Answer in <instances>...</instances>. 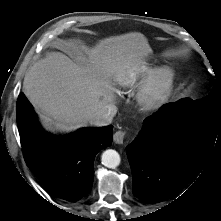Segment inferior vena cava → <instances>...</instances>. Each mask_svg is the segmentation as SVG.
Instances as JSON below:
<instances>
[{
    "mask_svg": "<svg viewBox=\"0 0 221 221\" xmlns=\"http://www.w3.org/2000/svg\"><path fill=\"white\" fill-rule=\"evenodd\" d=\"M116 113L117 107L114 104L106 105L90 116L89 123L98 127L107 126L111 124Z\"/></svg>",
    "mask_w": 221,
    "mask_h": 221,
    "instance_id": "inferior-vena-cava-1",
    "label": "inferior vena cava"
}]
</instances>
